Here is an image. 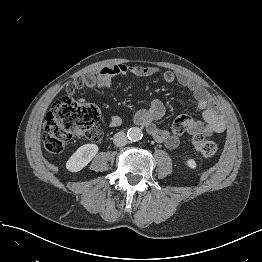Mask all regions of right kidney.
Wrapping results in <instances>:
<instances>
[{
  "mask_svg": "<svg viewBox=\"0 0 262 262\" xmlns=\"http://www.w3.org/2000/svg\"><path fill=\"white\" fill-rule=\"evenodd\" d=\"M98 146L95 144H85L79 147L76 152L68 159L66 168L70 172L82 170L98 153Z\"/></svg>",
  "mask_w": 262,
  "mask_h": 262,
  "instance_id": "ca27d5eb",
  "label": "right kidney"
}]
</instances>
